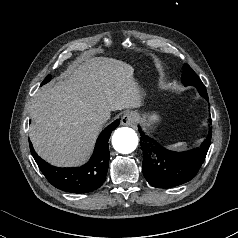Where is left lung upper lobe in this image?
<instances>
[{"label": "left lung upper lobe", "instance_id": "obj_1", "mask_svg": "<svg viewBox=\"0 0 238 238\" xmlns=\"http://www.w3.org/2000/svg\"><path fill=\"white\" fill-rule=\"evenodd\" d=\"M182 82L184 85L195 86L203 97L208 98L204 84L188 64L183 66Z\"/></svg>", "mask_w": 238, "mask_h": 238}]
</instances>
